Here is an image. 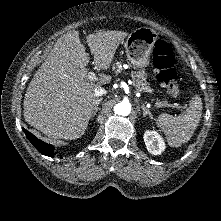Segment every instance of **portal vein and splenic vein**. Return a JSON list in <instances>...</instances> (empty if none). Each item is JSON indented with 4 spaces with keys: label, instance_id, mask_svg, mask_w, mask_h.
Instances as JSON below:
<instances>
[{
    "label": "portal vein and splenic vein",
    "instance_id": "obj_1",
    "mask_svg": "<svg viewBox=\"0 0 221 221\" xmlns=\"http://www.w3.org/2000/svg\"><path fill=\"white\" fill-rule=\"evenodd\" d=\"M87 77L90 81L97 80L96 74L94 72H88Z\"/></svg>",
    "mask_w": 221,
    "mask_h": 221
}]
</instances>
